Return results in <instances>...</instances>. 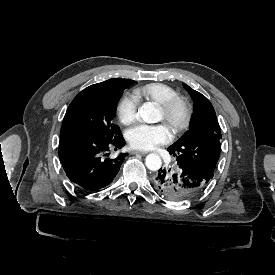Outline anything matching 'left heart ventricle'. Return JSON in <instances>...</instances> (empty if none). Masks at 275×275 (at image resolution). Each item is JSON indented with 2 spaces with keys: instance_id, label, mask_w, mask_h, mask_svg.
<instances>
[{
  "instance_id": "left-heart-ventricle-1",
  "label": "left heart ventricle",
  "mask_w": 275,
  "mask_h": 275,
  "mask_svg": "<svg viewBox=\"0 0 275 275\" xmlns=\"http://www.w3.org/2000/svg\"><path fill=\"white\" fill-rule=\"evenodd\" d=\"M181 116H182V111L179 108L171 116L167 117L159 107L157 120L162 121L173 131L176 123L181 119Z\"/></svg>"
}]
</instances>
